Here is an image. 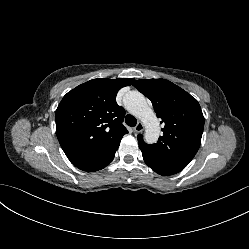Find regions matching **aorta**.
Returning a JSON list of instances; mask_svg holds the SVG:
<instances>
[{"label": "aorta", "instance_id": "obj_1", "mask_svg": "<svg viewBox=\"0 0 249 249\" xmlns=\"http://www.w3.org/2000/svg\"><path fill=\"white\" fill-rule=\"evenodd\" d=\"M125 106L134 116L142 120L145 125V140L155 143L160 135V123L155 112L147 104L143 94L132 91L125 96Z\"/></svg>", "mask_w": 249, "mask_h": 249}]
</instances>
